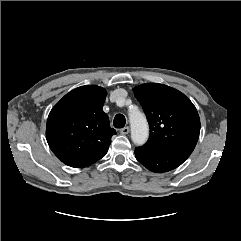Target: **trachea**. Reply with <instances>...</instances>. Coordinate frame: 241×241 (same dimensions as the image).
Returning a JSON list of instances; mask_svg holds the SVG:
<instances>
[{
	"label": "trachea",
	"instance_id": "obj_1",
	"mask_svg": "<svg viewBox=\"0 0 241 241\" xmlns=\"http://www.w3.org/2000/svg\"><path fill=\"white\" fill-rule=\"evenodd\" d=\"M126 119L124 115L117 114L113 120V125L115 128H123L125 126Z\"/></svg>",
	"mask_w": 241,
	"mask_h": 241
}]
</instances>
